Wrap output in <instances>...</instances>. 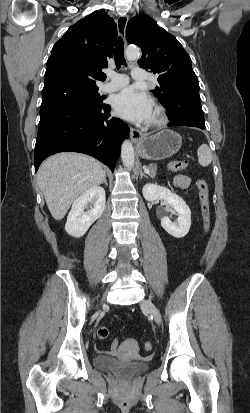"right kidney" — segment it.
<instances>
[{"label":"right kidney","instance_id":"1","mask_svg":"<svg viewBox=\"0 0 250 413\" xmlns=\"http://www.w3.org/2000/svg\"><path fill=\"white\" fill-rule=\"evenodd\" d=\"M105 190L102 187H93L81 194L73 203L65 225L66 232L73 237H82L89 227L99 219L105 209ZM92 203L93 208L85 209Z\"/></svg>","mask_w":250,"mask_h":413}]
</instances>
